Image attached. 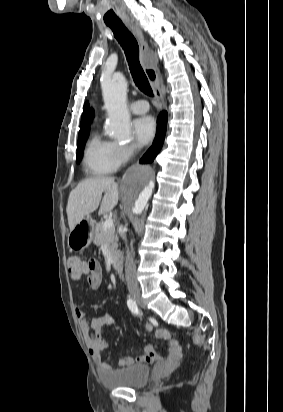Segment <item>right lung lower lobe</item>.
Instances as JSON below:
<instances>
[{"label": "right lung lower lobe", "mask_w": 283, "mask_h": 412, "mask_svg": "<svg viewBox=\"0 0 283 412\" xmlns=\"http://www.w3.org/2000/svg\"><path fill=\"white\" fill-rule=\"evenodd\" d=\"M167 128V112H162L157 119V132L152 146L147 150L140 163H151L162 148Z\"/></svg>", "instance_id": "1"}]
</instances>
